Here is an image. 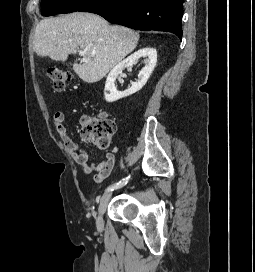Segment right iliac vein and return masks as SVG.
Wrapping results in <instances>:
<instances>
[{"label": "right iliac vein", "instance_id": "obj_1", "mask_svg": "<svg viewBox=\"0 0 255 272\" xmlns=\"http://www.w3.org/2000/svg\"><path fill=\"white\" fill-rule=\"evenodd\" d=\"M112 193L110 191H107L100 199V204L98 208V217L96 220V225L99 230L103 228V214L106 211L107 205L111 199Z\"/></svg>", "mask_w": 255, "mask_h": 272}]
</instances>
